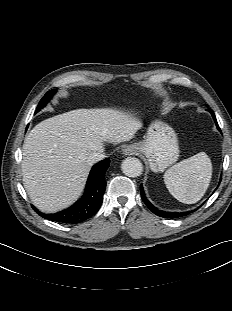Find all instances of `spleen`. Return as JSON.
Masks as SVG:
<instances>
[{
  "label": "spleen",
  "mask_w": 232,
  "mask_h": 311,
  "mask_svg": "<svg viewBox=\"0 0 232 311\" xmlns=\"http://www.w3.org/2000/svg\"><path fill=\"white\" fill-rule=\"evenodd\" d=\"M212 177V163L205 152L185 159L164 173V183L178 201L193 204L205 194Z\"/></svg>",
  "instance_id": "3e777b00"
}]
</instances>
